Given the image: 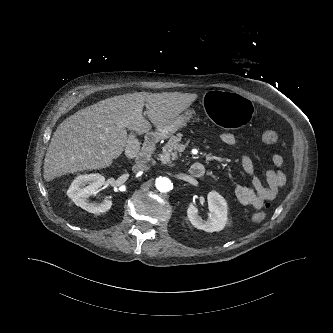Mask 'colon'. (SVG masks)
Segmentation results:
<instances>
[{
    "instance_id": "1",
    "label": "colon",
    "mask_w": 333,
    "mask_h": 333,
    "mask_svg": "<svg viewBox=\"0 0 333 333\" xmlns=\"http://www.w3.org/2000/svg\"><path fill=\"white\" fill-rule=\"evenodd\" d=\"M261 140L264 145H272L277 142L278 135L275 131L269 130L263 133ZM270 207L271 205L269 203L265 205L266 210H268ZM265 217H266V212L260 211L252 216V221L255 223H260L265 219Z\"/></svg>"
}]
</instances>
